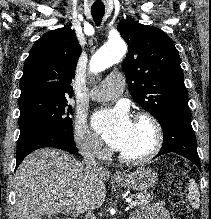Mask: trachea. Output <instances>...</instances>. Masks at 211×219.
Instances as JSON below:
<instances>
[{
    "label": "trachea",
    "instance_id": "obj_1",
    "mask_svg": "<svg viewBox=\"0 0 211 219\" xmlns=\"http://www.w3.org/2000/svg\"><path fill=\"white\" fill-rule=\"evenodd\" d=\"M91 14H92V17H93L95 24L97 26H99L102 22L104 14H105V6L103 4L93 5L91 7Z\"/></svg>",
    "mask_w": 211,
    "mask_h": 219
}]
</instances>
